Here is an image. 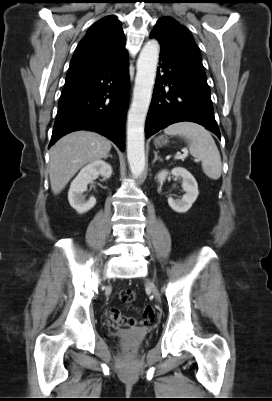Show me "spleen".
I'll return each mask as SVG.
<instances>
[{"label":"spleen","instance_id":"3e777b00","mask_svg":"<svg viewBox=\"0 0 272 401\" xmlns=\"http://www.w3.org/2000/svg\"><path fill=\"white\" fill-rule=\"evenodd\" d=\"M164 133L183 137L188 142L190 154L202 161L205 175L213 180L220 178V153L211 134L204 127L192 122H179L165 128Z\"/></svg>","mask_w":272,"mask_h":401}]
</instances>
